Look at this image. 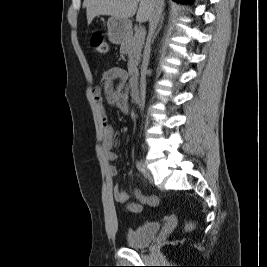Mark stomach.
<instances>
[{
    "label": "stomach",
    "instance_id": "1",
    "mask_svg": "<svg viewBox=\"0 0 267 267\" xmlns=\"http://www.w3.org/2000/svg\"><path fill=\"white\" fill-rule=\"evenodd\" d=\"M109 41L119 44L124 36L130 31L131 24L129 20L110 17L107 21Z\"/></svg>",
    "mask_w": 267,
    "mask_h": 267
}]
</instances>
